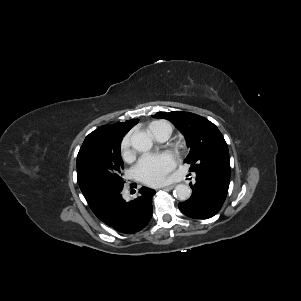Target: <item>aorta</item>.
<instances>
[{
	"label": "aorta",
	"instance_id": "762f6f07",
	"mask_svg": "<svg viewBox=\"0 0 301 301\" xmlns=\"http://www.w3.org/2000/svg\"><path fill=\"white\" fill-rule=\"evenodd\" d=\"M131 145L139 152H146L152 148L153 143L146 133L135 132L131 136ZM174 196L181 201L187 200L191 196V189L185 184H178L174 189Z\"/></svg>",
	"mask_w": 301,
	"mask_h": 301
}]
</instances>
